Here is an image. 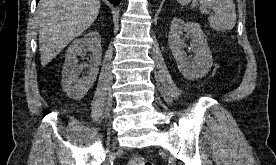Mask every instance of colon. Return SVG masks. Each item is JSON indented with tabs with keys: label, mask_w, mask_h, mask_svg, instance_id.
Listing matches in <instances>:
<instances>
[{
	"label": "colon",
	"mask_w": 276,
	"mask_h": 165,
	"mask_svg": "<svg viewBox=\"0 0 276 165\" xmlns=\"http://www.w3.org/2000/svg\"><path fill=\"white\" fill-rule=\"evenodd\" d=\"M127 165H153V164L143 157L133 156L128 160Z\"/></svg>",
	"instance_id": "colon-1"
}]
</instances>
